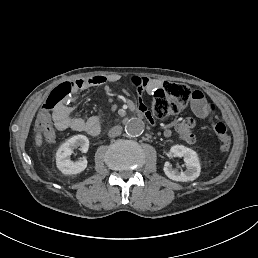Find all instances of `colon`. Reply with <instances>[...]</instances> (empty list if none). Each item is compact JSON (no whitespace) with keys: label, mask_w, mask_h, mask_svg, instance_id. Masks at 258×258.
<instances>
[{"label":"colon","mask_w":258,"mask_h":258,"mask_svg":"<svg viewBox=\"0 0 258 258\" xmlns=\"http://www.w3.org/2000/svg\"><path fill=\"white\" fill-rule=\"evenodd\" d=\"M76 91L74 82H63L55 87L46 99L43 106V115L48 116L60 106L66 104ZM192 92L190 88L181 83L167 82L152 94V114L156 118H165L176 114L190 99ZM209 113L214 111V105L209 104ZM213 131L220 141V150L223 153L229 151L231 137L224 123L217 122L213 125Z\"/></svg>","instance_id":"1"}]
</instances>
